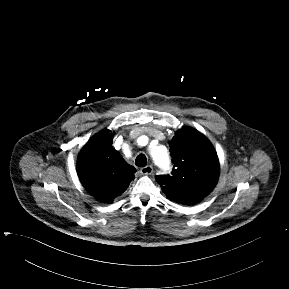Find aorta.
Returning <instances> with one entry per match:
<instances>
[{
    "label": "aorta",
    "instance_id": "aorta-1",
    "mask_svg": "<svg viewBox=\"0 0 289 289\" xmlns=\"http://www.w3.org/2000/svg\"><path fill=\"white\" fill-rule=\"evenodd\" d=\"M151 157L155 165L164 168L169 163V156L166 151H161L159 148L153 149L151 151Z\"/></svg>",
    "mask_w": 289,
    "mask_h": 289
}]
</instances>
